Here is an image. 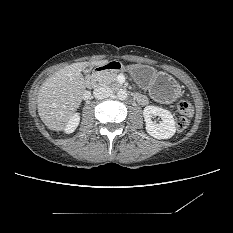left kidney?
<instances>
[{
  "mask_svg": "<svg viewBox=\"0 0 233 233\" xmlns=\"http://www.w3.org/2000/svg\"><path fill=\"white\" fill-rule=\"evenodd\" d=\"M143 116L146 122V131L152 137L156 139H169L175 134V121L170 111L150 105L144 108ZM154 116H159L161 122H153L152 118Z\"/></svg>",
  "mask_w": 233,
  "mask_h": 233,
  "instance_id": "5707ae66",
  "label": "left kidney"
}]
</instances>
